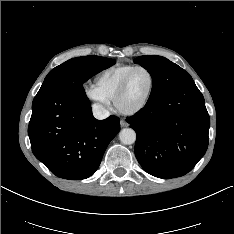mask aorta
Segmentation results:
<instances>
[{
	"label": "aorta",
	"instance_id": "762f6f07",
	"mask_svg": "<svg viewBox=\"0 0 234 234\" xmlns=\"http://www.w3.org/2000/svg\"><path fill=\"white\" fill-rule=\"evenodd\" d=\"M119 139L124 145L133 144L136 141V133L131 128H124L119 133Z\"/></svg>",
	"mask_w": 234,
	"mask_h": 234
}]
</instances>
